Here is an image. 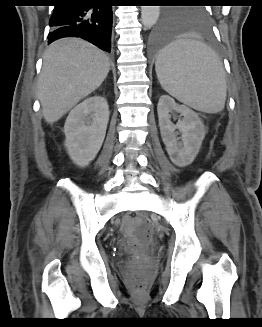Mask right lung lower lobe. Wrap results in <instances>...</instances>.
I'll return each mask as SVG.
<instances>
[{
	"mask_svg": "<svg viewBox=\"0 0 262 327\" xmlns=\"http://www.w3.org/2000/svg\"><path fill=\"white\" fill-rule=\"evenodd\" d=\"M50 19L48 44L63 37H80L110 52L112 6L105 0H59ZM92 3H96L95 6Z\"/></svg>",
	"mask_w": 262,
	"mask_h": 327,
	"instance_id": "obj_1",
	"label": "right lung lower lobe"
}]
</instances>
